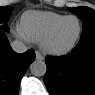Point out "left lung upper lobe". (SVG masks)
<instances>
[{
    "label": "left lung upper lobe",
    "mask_w": 95,
    "mask_h": 95,
    "mask_svg": "<svg viewBox=\"0 0 95 95\" xmlns=\"http://www.w3.org/2000/svg\"><path fill=\"white\" fill-rule=\"evenodd\" d=\"M70 10L76 13L83 21L81 38L95 34V11L93 9L89 7H76L70 8Z\"/></svg>",
    "instance_id": "5c2ea615"
}]
</instances>
